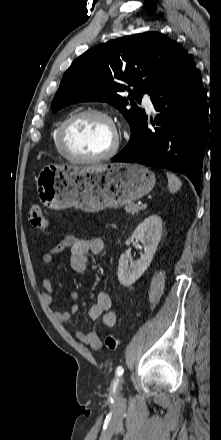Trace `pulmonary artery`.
<instances>
[{
	"label": "pulmonary artery",
	"instance_id": "obj_1",
	"mask_svg": "<svg viewBox=\"0 0 221 440\" xmlns=\"http://www.w3.org/2000/svg\"><path fill=\"white\" fill-rule=\"evenodd\" d=\"M142 104L144 105V107H145L149 112L154 111L153 103H152L151 98H150L149 95L145 94V95L143 96Z\"/></svg>",
	"mask_w": 221,
	"mask_h": 440
}]
</instances>
